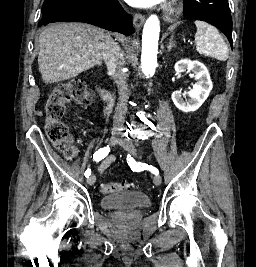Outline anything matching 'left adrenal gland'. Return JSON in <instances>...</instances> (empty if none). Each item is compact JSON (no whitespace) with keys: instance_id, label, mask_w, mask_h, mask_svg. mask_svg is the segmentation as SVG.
I'll return each mask as SVG.
<instances>
[{"instance_id":"obj_1","label":"left adrenal gland","mask_w":256,"mask_h":267,"mask_svg":"<svg viewBox=\"0 0 256 267\" xmlns=\"http://www.w3.org/2000/svg\"><path fill=\"white\" fill-rule=\"evenodd\" d=\"M172 48H176V42L174 40V36H171V38L168 42V46H167L168 52H171Z\"/></svg>"}]
</instances>
